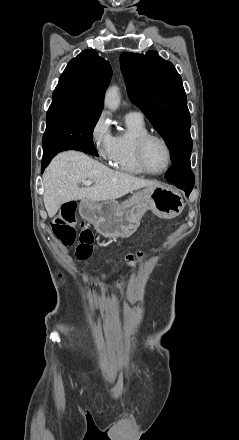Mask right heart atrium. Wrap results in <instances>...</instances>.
Wrapping results in <instances>:
<instances>
[{"instance_id": "1", "label": "right heart atrium", "mask_w": 239, "mask_h": 440, "mask_svg": "<svg viewBox=\"0 0 239 440\" xmlns=\"http://www.w3.org/2000/svg\"><path fill=\"white\" fill-rule=\"evenodd\" d=\"M88 139L96 154L109 161L115 150V136L112 134L106 113H100L88 130Z\"/></svg>"}]
</instances>
